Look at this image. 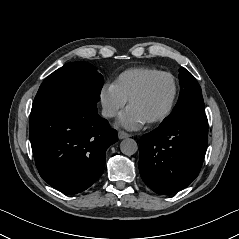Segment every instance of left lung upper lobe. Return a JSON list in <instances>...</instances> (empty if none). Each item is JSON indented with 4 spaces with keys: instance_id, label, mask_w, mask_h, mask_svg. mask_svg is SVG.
<instances>
[{
    "instance_id": "left-lung-upper-lobe-1",
    "label": "left lung upper lobe",
    "mask_w": 239,
    "mask_h": 239,
    "mask_svg": "<svg viewBox=\"0 0 239 239\" xmlns=\"http://www.w3.org/2000/svg\"><path fill=\"white\" fill-rule=\"evenodd\" d=\"M179 80L181 90L178 102L172 113L162 122L161 125L168 124L191 112H205L201 88L194 76L185 68H180Z\"/></svg>"
}]
</instances>
